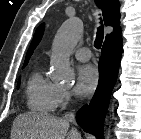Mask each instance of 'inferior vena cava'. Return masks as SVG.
I'll use <instances>...</instances> for the list:
<instances>
[{
  "mask_svg": "<svg viewBox=\"0 0 141 139\" xmlns=\"http://www.w3.org/2000/svg\"><path fill=\"white\" fill-rule=\"evenodd\" d=\"M63 118L70 122H75V115L72 112L66 113ZM74 130L77 131L76 129Z\"/></svg>",
  "mask_w": 141,
  "mask_h": 139,
  "instance_id": "inferior-vena-cava-1",
  "label": "inferior vena cava"
}]
</instances>
